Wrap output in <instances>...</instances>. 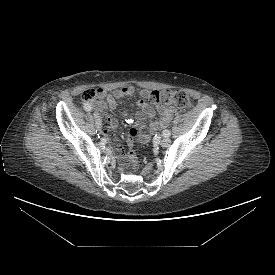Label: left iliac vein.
Segmentation results:
<instances>
[{
    "label": "left iliac vein",
    "mask_w": 275,
    "mask_h": 275,
    "mask_svg": "<svg viewBox=\"0 0 275 275\" xmlns=\"http://www.w3.org/2000/svg\"><path fill=\"white\" fill-rule=\"evenodd\" d=\"M170 143H171V140L168 137H163L160 140V145L163 146V147L169 146Z\"/></svg>",
    "instance_id": "1"
}]
</instances>
